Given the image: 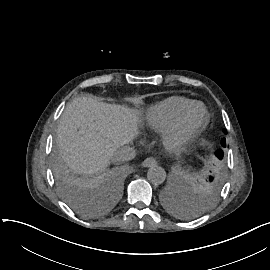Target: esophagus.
<instances>
[{
	"label": "esophagus",
	"instance_id": "esophagus-1",
	"mask_svg": "<svg viewBox=\"0 0 270 270\" xmlns=\"http://www.w3.org/2000/svg\"><path fill=\"white\" fill-rule=\"evenodd\" d=\"M157 164V160L154 157H148L142 162L143 167H152Z\"/></svg>",
	"mask_w": 270,
	"mask_h": 270
}]
</instances>
